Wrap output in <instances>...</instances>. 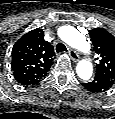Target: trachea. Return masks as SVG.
Here are the masks:
<instances>
[{
	"label": "trachea",
	"instance_id": "3493384b",
	"mask_svg": "<svg viewBox=\"0 0 115 119\" xmlns=\"http://www.w3.org/2000/svg\"><path fill=\"white\" fill-rule=\"evenodd\" d=\"M66 51H67V48L63 43H58L56 45V52L57 53H62V52H66Z\"/></svg>",
	"mask_w": 115,
	"mask_h": 119
}]
</instances>
